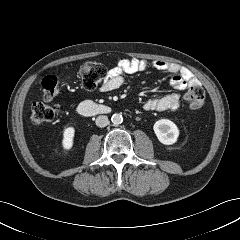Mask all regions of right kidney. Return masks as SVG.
Segmentation results:
<instances>
[{"label":"right kidney","mask_w":240,"mask_h":240,"mask_svg":"<svg viewBox=\"0 0 240 240\" xmlns=\"http://www.w3.org/2000/svg\"><path fill=\"white\" fill-rule=\"evenodd\" d=\"M75 129L73 127H67L63 131L62 147L65 150H70L73 146V138Z\"/></svg>","instance_id":"ca27d5eb"}]
</instances>
